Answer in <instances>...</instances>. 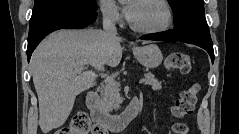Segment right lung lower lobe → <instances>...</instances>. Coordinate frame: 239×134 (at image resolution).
<instances>
[{
  "label": "right lung lower lobe",
  "instance_id": "right-lung-lower-lobe-1",
  "mask_svg": "<svg viewBox=\"0 0 239 134\" xmlns=\"http://www.w3.org/2000/svg\"><path fill=\"white\" fill-rule=\"evenodd\" d=\"M97 12L76 6H60L50 9L35 19H30L27 57L40 41L58 29L85 28L96 20Z\"/></svg>",
  "mask_w": 239,
  "mask_h": 134
}]
</instances>
